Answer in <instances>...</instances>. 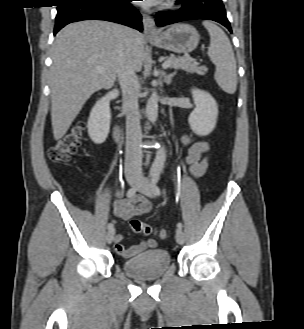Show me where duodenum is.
Instances as JSON below:
<instances>
[{
  "label": "duodenum",
  "mask_w": 304,
  "mask_h": 329,
  "mask_svg": "<svg viewBox=\"0 0 304 329\" xmlns=\"http://www.w3.org/2000/svg\"><path fill=\"white\" fill-rule=\"evenodd\" d=\"M113 136H114V139L117 143L120 142V140H121V127L118 124L115 125V127H114Z\"/></svg>",
  "instance_id": "410a0bca"
}]
</instances>
